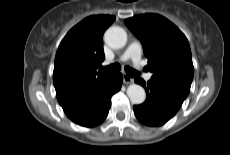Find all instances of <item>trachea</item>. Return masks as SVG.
Masks as SVG:
<instances>
[{"label":"trachea","instance_id":"3493384b","mask_svg":"<svg viewBox=\"0 0 230 155\" xmlns=\"http://www.w3.org/2000/svg\"><path fill=\"white\" fill-rule=\"evenodd\" d=\"M120 69H121V66L118 63H114V64H112L110 66H106V67H102L101 68V70L104 71V72H119ZM125 72L130 77H137V76H139V73L136 70L130 68L129 66L125 67Z\"/></svg>","mask_w":230,"mask_h":155}]
</instances>
